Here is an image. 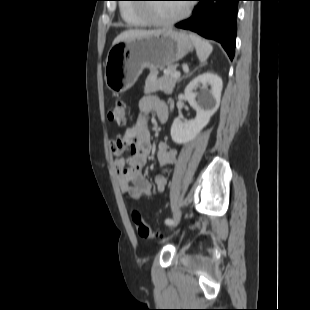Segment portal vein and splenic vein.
<instances>
[{
    "label": "portal vein and splenic vein",
    "mask_w": 310,
    "mask_h": 310,
    "mask_svg": "<svg viewBox=\"0 0 310 310\" xmlns=\"http://www.w3.org/2000/svg\"><path fill=\"white\" fill-rule=\"evenodd\" d=\"M180 75H181V73H180L179 71H176V72H174V73L172 74V77H173V78H179Z\"/></svg>",
    "instance_id": "1"
}]
</instances>
